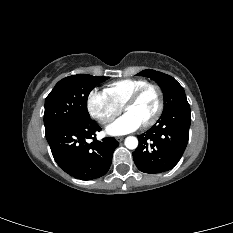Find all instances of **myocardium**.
Segmentation results:
<instances>
[{
    "label": "myocardium",
    "instance_id": "1",
    "mask_svg": "<svg viewBox=\"0 0 233 233\" xmlns=\"http://www.w3.org/2000/svg\"><path fill=\"white\" fill-rule=\"evenodd\" d=\"M148 89H154L157 92L158 107L154 115L148 121L142 124V127L144 128L154 125L158 121V119L160 118L164 110V96H163V91L160 88V86H158L157 84H153V83H147L139 87L127 98V100L124 102L122 106V110L125 111L129 106L134 104L141 97V95Z\"/></svg>",
    "mask_w": 233,
    "mask_h": 233
}]
</instances>
